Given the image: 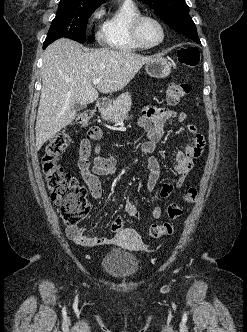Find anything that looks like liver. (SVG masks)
<instances>
[{
    "label": "liver",
    "instance_id": "1",
    "mask_svg": "<svg viewBox=\"0 0 247 332\" xmlns=\"http://www.w3.org/2000/svg\"><path fill=\"white\" fill-rule=\"evenodd\" d=\"M154 57L130 51H83L70 39H59L43 54L42 90L35 133L36 148L69 125L76 117V103L89 104L101 93L123 89L144 64ZM100 78L95 87L93 80Z\"/></svg>",
    "mask_w": 247,
    "mask_h": 332
}]
</instances>
